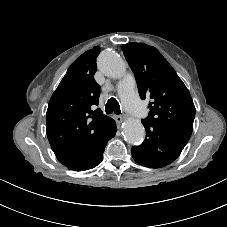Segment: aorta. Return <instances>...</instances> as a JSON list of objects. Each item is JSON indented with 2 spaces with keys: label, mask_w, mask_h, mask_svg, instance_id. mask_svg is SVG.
Listing matches in <instances>:
<instances>
[{
  "label": "aorta",
  "mask_w": 227,
  "mask_h": 227,
  "mask_svg": "<svg viewBox=\"0 0 227 227\" xmlns=\"http://www.w3.org/2000/svg\"><path fill=\"white\" fill-rule=\"evenodd\" d=\"M99 70L111 78H121L126 72L123 59L116 52L105 50L98 57ZM123 136L130 144H138L145 137V128L141 121L128 119L123 126Z\"/></svg>",
  "instance_id": "aorta-1"
}]
</instances>
